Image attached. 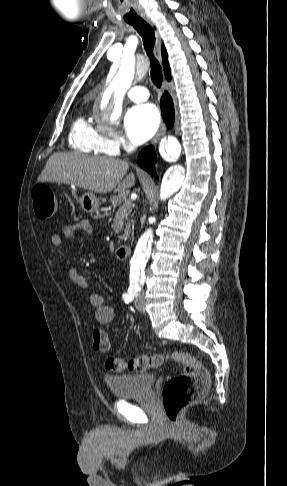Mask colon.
<instances>
[{
  "label": "colon",
  "mask_w": 287,
  "mask_h": 486,
  "mask_svg": "<svg viewBox=\"0 0 287 486\" xmlns=\"http://www.w3.org/2000/svg\"><path fill=\"white\" fill-rule=\"evenodd\" d=\"M33 207L40 219L51 218L57 210L54 191L45 183H39L32 190ZM109 339L102 330L93 332V347L96 351L109 350ZM168 361L180 363L182 371L168 378L162 386V402L167 418L174 424L183 408L197 401L209 386V375L204 366L192 355L174 351L167 354H142L130 359L110 357L105 367L113 372H144L162 366Z\"/></svg>",
  "instance_id": "1"
}]
</instances>
